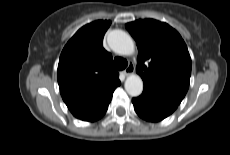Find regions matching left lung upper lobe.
Returning a JSON list of instances; mask_svg holds the SVG:
<instances>
[{"label": "left lung upper lobe", "instance_id": "1", "mask_svg": "<svg viewBox=\"0 0 230 155\" xmlns=\"http://www.w3.org/2000/svg\"><path fill=\"white\" fill-rule=\"evenodd\" d=\"M126 29L137 43L136 71L144 88L180 104L191 76V58L180 34L167 23L154 19L127 23Z\"/></svg>", "mask_w": 230, "mask_h": 155}]
</instances>
